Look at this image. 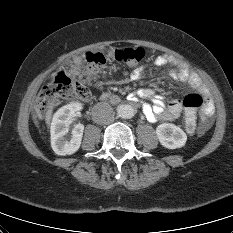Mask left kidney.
Listing matches in <instances>:
<instances>
[{"label": "left kidney", "instance_id": "left-kidney-1", "mask_svg": "<svg viewBox=\"0 0 233 233\" xmlns=\"http://www.w3.org/2000/svg\"><path fill=\"white\" fill-rule=\"evenodd\" d=\"M156 134L162 146L168 149L181 148L187 141L186 133L178 126L163 123L157 126Z\"/></svg>", "mask_w": 233, "mask_h": 233}]
</instances>
